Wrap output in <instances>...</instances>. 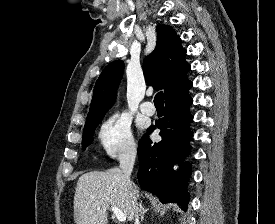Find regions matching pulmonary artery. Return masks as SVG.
I'll return each mask as SVG.
<instances>
[{"label":"pulmonary artery","instance_id":"e3ab8cb5","mask_svg":"<svg viewBox=\"0 0 275 224\" xmlns=\"http://www.w3.org/2000/svg\"><path fill=\"white\" fill-rule=\"evenodd\" d=\"M140 110L142 111V113L148 116L154 115L156 111L154 105L149 101L143 102L140 105Z\"/></svg>","mask_w":275,"mask_h":224}]
</instances>
